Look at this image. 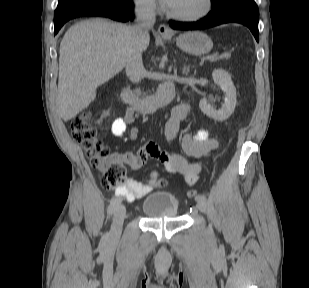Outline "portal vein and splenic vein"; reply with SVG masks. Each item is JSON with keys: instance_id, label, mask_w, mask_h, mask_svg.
I'll return each mask as SVG.
<instances>
[{"instance_id": "obj_1", "label": "portal vein and splenic vein", "mask_w": 309, "mask_h": 288, "mask_svg": "<svg viewBox=\"0 0 309 288\" xmlns=\"http://www.w3.org/2000/svg\"><path fill=\"white\" fill-rule=\"evenodd\" d=\"M217 55H218V52L204 56V57L201 58V61L213 60L215 57H217Z\"/></svg>"}]
</instances>
